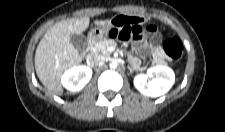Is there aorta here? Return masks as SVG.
<instances>
[{
    "mask_svg": "<svg viewBox=\"0 0 225 132\" xmlns=\"http://www.w3.org/2000/svg\"><path fill=\"white\" fill-rule=\"evenodd\" d=\"M116 66H117L116 63H114V62L110 64L111 68H116Z\"/></svg>",
    "mask_w": 225,
    "mask_h": 132,
    "instance_id": "aorta-1",
    "label": "aorta"
}]
</instances>
